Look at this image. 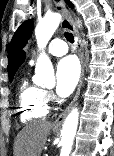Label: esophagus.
<instances>
[{
	"instance_id": "1",
	"label": "esophagus",
	"mask_w": 114,
	"mask_h": 156,
	"mask_svg": "<svg viewBox=\"0 0 114 156\" xmlns=\"http://www.w3.org/2000/svg\"><path fill=\"white\" fill-rule=\"evenodd\" d=\"M53 2H54L55 10L62 15L61 26L64 29L70 31L74 35L75 46L77 48L78 55H79L80 62H81V74H80V79H79V83L77 86L75 96H74L73 100L71 101V103L64 109V111L58 116V118L53 123V125L55 127H60L63 124L67 114L70 112L73 104L79 97L80 90H81L82 83H83L85 64H84L83 45H82L81 39L79 37L78 31H77L75 25L73 24L72 18L69 15L67 8L61 1L56 2L53 0Z\"/></svg>"
}]
</instances>
